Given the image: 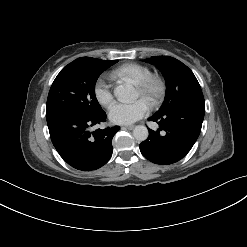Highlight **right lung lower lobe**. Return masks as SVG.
I'll return each instance as SVG.
<instances>
[{"label":"right lung lower lobe","instance_id":"obj_1","mask_svg":"<svg viewBox=\"0 0 247 247\" xmlns=\"http://www.w3.org/2000/svg\"><path fill=\"white\" fill-rule=\"evenodd\" d=\"M105 118L106 113L102 111L96 116L66 114L47 121L51 141L64 161L81 171L96 170L109 161L112 139L120 127L89 131Z\"/></svg>","mask_w":247,"mask_h":247}]
</instances>
